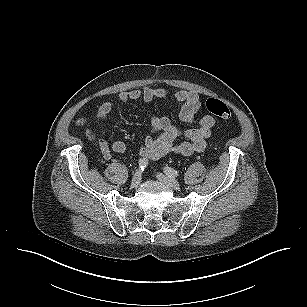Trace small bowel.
<instances>
[{"mask_svg":"<svg viewBox=\"0 0 307 307\" xmlns=\"http://www.w3.org/2000/svg\"><path fill=\"white\" fill-rule=\"evenodd\" d=\"M168 96L164 88L146 87L144 89H132L130 91H121L118 95L121 103L129 101L143 100L152 102L156 99L164 100ZM174 100L180 108V119L188 124L194 123L196 114L202 107V102L198 94L186 90H179L174 94ZM113 104L103 103L96 114V126L99 133V147L105 158H110L113 152L123 153L126 150V144L123 141H114L108 143L102 136L106 133V119L112 111ZM152 132L154 136H147L144 139L143 146L140 149V156L149 160H158L167 154H180L190 156L193 153L203 151L211 136L215 125V118L211 115H204L198 120V126L185 131V140L176 143L180 135L179 130L172 124L169 118L165 116H152Z\"/></svg>","mask_w":307,"mask_h":307,"instance_id":"c3829d8e","label":"small bowel"}]
</instances>
